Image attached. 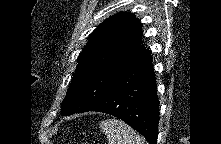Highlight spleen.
I'll return each mask as SVG.
<instances>
[{
    "instance_id": "3e777b00",
    "label": "spleen",
    "mask_w": 221,
    "mask_h": 144,
    "mask_svg": "<svg viewBox=\"0 0 221 144\" xmlns=\"http://www.w3.org/2000/svg\"><path fill=\"white\" fill-rule=\"evenodd\" d=\"M100 128L108 144H144L145 140L129 125L118 119L101 121Z\"/></svg>"
}]
</instances>
